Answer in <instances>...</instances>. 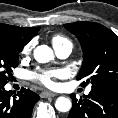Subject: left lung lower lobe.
<instances>
[{
	"label": "left lung lower lobe",
	"mask_w": 118,
	"mask_h": 118,
	"mask_svg": "<svg viewBox=\"0 0 118 118\" xmlns=\"http://www.w3.org/2000/svg\"><path fill=\"white\" fill-rule=\"evenodd\" d=\"M72 109L68 118H118V90L91 89L84 98L71 94Z\"/></svg>",
	"instance_id": "1"
}]
</instances>
